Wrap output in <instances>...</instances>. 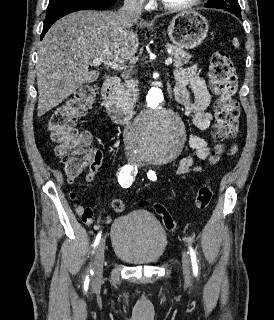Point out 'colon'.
<instances>
[{
    "instance_id": "obj_1",
    "label": "colon",
    "mask_w": 274,
    "mask_h": 320,
    "mask_svg": "<svg viewBox=\"0 0 274 320\" xmlns=\"http://www.w3.org/2000/svg\"><path fill=\"white\" fill-rule=\"evenodd\" d=\"M208 76L212 91L217 96L212 129L215 150L212 158L218 160L226 142L233 139L238 132L239 107L234 98L237 90V73L228 53L217 51L212 54ZM90 92L91 90L86 88L69 97L53 111L49 121L52 140L56 144V154L65 166L69 181L78 175L94 155L92 135L76 129V122L86 106V99ZM212 195V187L203 183L196 193V206L200 209L206 208ZM70 196L76 195L71 192ZM139 205L147 207L149 202L142 200ZM112 208L121 213L125 209V204L120 200H114ZM152 208L162 218L165 228L173 231L176 223L168 209L157 203Z\"/></svg>"
}]
</instances>
